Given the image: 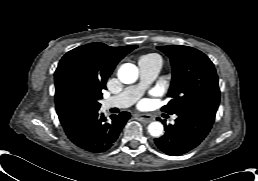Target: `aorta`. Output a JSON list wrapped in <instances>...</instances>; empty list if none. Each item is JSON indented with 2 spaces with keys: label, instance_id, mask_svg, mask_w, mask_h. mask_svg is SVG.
Returning <instances> with one entry per match:
<instances>
[{
  "label": "aorta",
  "instance_id": "762f6f07",
  "mask_svg": "<svg viewBox=\"0 0 258 181\" xmlns=\"http://www.w3.org/2000/svg\"><path fill=\"white\" fill-rule=\"evenodd\" d=\"M118 79L124 84L136 82L139 76L138 68L131 63H125L120 66L117 72ZM164 127L161 122L154 121L148 125V132L153 137H160L163 134Z\"/></svg>",
  "mask_w": 258,
  "mask_h": 181
}]
</instances>
